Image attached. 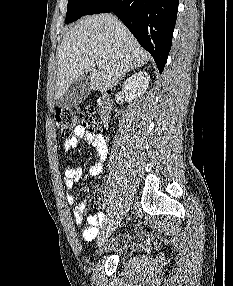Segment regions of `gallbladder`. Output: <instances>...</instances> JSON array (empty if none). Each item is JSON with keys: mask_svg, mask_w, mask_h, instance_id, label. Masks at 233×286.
<instances>
[{"mask_svg": "<svg viewBox=\"0 0 233 286\" xmlns=\"http://www.w3.org/2000/svg\"><path fill=\"white\" fill-rule=\"evenodd\" d=\"M90 79L87 74L81 75L74 81L68 90L56 100V105L61 109H71L82 103L90 91Z\"/></svg>", "mask_w": 233, "mask_h": 286, "instance_id": "obj_1", "label": "gallbladder"}]
</instances>
